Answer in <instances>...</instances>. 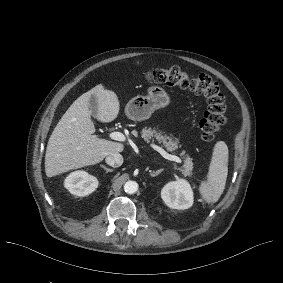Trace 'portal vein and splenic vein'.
Listing matches in <instances>:
<instances>
[{
	"label": "portal vein and splenic vein",
	"instance_id": "1",
	"mask_svg": "<svg viewBox=\"0 0 283 283\" xmlns=\"http://www.w3.org/2000/svg\"><path fill=\"white\" fill-rule=\"evenodd\" d=\"M110 138L113 139V140H117V141H124L125 140V136L121 132L110 133ZM150 146L154 150H156L158 153H160L165 159H168L170 161H175L177 163H181V159L178 156L171 155V154L167 153L163 148L159 147L158 145L151 143Z\"/></svg>",
	"mask_w": 283,
	"mask_h": 283
}]
</instances>
